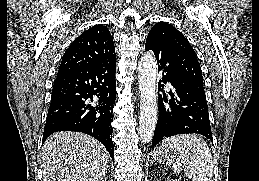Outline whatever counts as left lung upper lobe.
<instances>
[{"label":"left lung upper lobe","instance_id":"left-lung-upper-lobe-1","mask_svg":"<svg viewBox=\"0 0 259 181\" xmlns=\"http://www.w3.org/2000/svg\"><path fill=\"white\" fill-rule=\"evenodd\" d=\"M145 47L158 52L168 51L179 77L205 95L202 71L195 51L175 27L166 22L156 23L147 36Z\"/></svg>","mask_w":259,"mask_h":181}]
</instances>
